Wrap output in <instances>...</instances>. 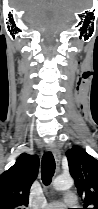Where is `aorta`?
<instances>
[{
    "mask_svg": "<svg viewBox=\"0 0 98 209\" xmlns=\"http://www.w3.org/2000/svg\"><path fill=\"white\" fill-rule=\"evenodd\" d=\"M73 184L74 181L70 176H58L53 181V187L57 191L68 190Z\"/></svg>",
    "mask_w": 98,
    "mask_h": 209,
    "instance_id": "aorta-1",
    "label": "aorta"
}]
</instances>
